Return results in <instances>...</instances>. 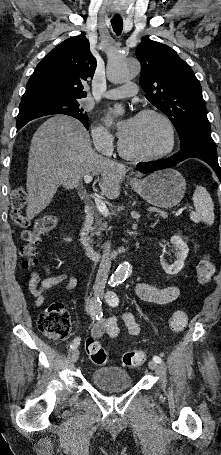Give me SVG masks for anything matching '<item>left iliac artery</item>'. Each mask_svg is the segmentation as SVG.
I'll return each instance as SVG.
<instances>
[{
  "mask_svg": "<svg viewBox=\"0 0 221 455\" xmlns=\"http://www.w3.org/2000/svg\"><path fill=\"white\" fill-rule=\"evenodd\" d=\"M105 298L107 303L111 306H117L119 303V298L114 291H108L106 293ZM153 361H155L156 363H161L162 359L159 356H154Z\"/></svg>",
  "mask_w": 221,
  "mask_h": 455,
  "instance_id": "left-iliac-artery-1",
  "label": "left iliac artery"
}]
</instances>
